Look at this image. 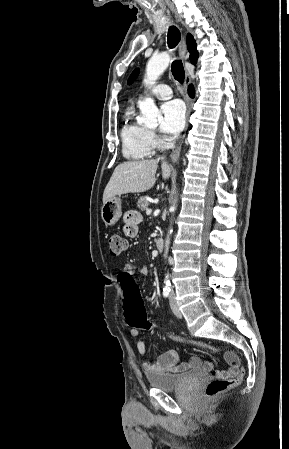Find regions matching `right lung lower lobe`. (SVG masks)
<instances>
[{
    "label": "right lung lower lobe",
    "instance_id": "1",
    "mask_svg": "<svg viewBox=\"0 0 289 449\" xmlns=\"http://www.w3.org/2000/svg\"><path fill=\"white\" fill-rule=\"evenodd\" d=\"M188 94H189V96L190 97H194V87H193V85H189V87H188Z\"/></svg>",
    "mask_w": 289,
    "mask_h": 449
}]
</instances>
